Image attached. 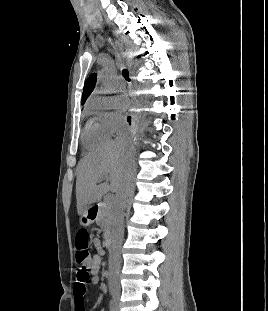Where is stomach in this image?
Listing matches in <instances>:
<instances>
[{
	"mask_svg": "<svg viewBox=\"0 0 268 311\" xmlns=\"http://www.w3.org/2000/svg\"><path fill=\"white\" fill-rule=\"evenodd\" d=\"M93 223V220L89 217L88 209L81 214L80 216V224L82 226H89Z\"/></svg>",
	"mask_w": 268,
	"mask_h": 311,
	"instance_id": "stomach-1",
	"label": "stomach"
}]
</instances>
